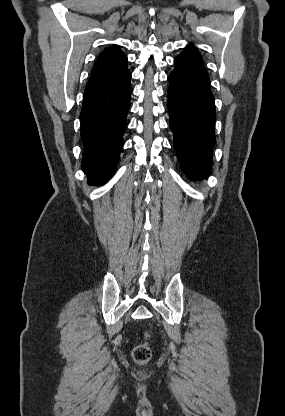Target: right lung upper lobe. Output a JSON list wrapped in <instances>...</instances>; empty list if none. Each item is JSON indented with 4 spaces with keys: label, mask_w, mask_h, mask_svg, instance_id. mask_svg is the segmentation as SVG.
I'll return each mask as SVG.
<instances>
[{
    "label": "right lung upper lobe",
    "mask_w": 285,
    "mask_h": 416,
    "mask_svg": "<svg viewBox=\"0 0 285 416\" xmlns=\"http://www.w3.org/2000/svg\"><path fill=\"white\" fill-rule=\"evenodd\" d=\"M127 72L126 55L116 46L106 48L96 62L85 92L108 85Z\"/></svg>",
    "instance_id": "obj_1"
}]
</instances>
